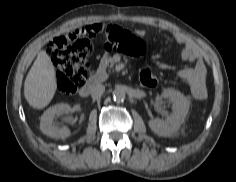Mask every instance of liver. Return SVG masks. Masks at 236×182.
Returning a JSON list of instances; mask_svg holds the SVG:
<instances>
[{"label":"liver","instance_id":"1","mask_svg":"<svg viewBox=\"0 0 236 182\" xmlns=\"http://www.w3.org/2000/svg\"><path fill=\"white\" fill-rule=\"evenodd\" d=\"M56 76L53 63L42 50L38 53L24 82V96L34 109L45 108L56 92Z\"/></svg>","mask_w":236,"mask_h":182}]
</instances>
